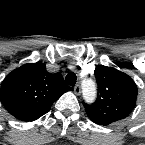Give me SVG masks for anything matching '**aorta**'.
<instances>
[{"label": "aorta", "mask_w": 145, "mask_h": 145, "mask_svg": "<svg viewBox=\"0 0 145 145\" xmlns=\"http://www.w3.org/2000/svg\"><path fill=\"white\" fill-rule=\"evenodd\" d=\"M82 93L86 102H93L96 97V84L92 79L82 81Z\"/></svg>", "instance_id": "1"}]
</instances>
